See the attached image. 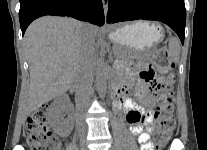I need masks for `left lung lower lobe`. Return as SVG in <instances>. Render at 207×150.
Here are the masks:
<instances>
[{"mask_svg":"<svg viewBox=\"0 0 207 150\" xmlns=\"http://www.w3.org/2000/svg\"><path fill=\"white\" fill-rule=\"evenodd\" d=\"M156 20L170 26L184 42V0H109L107 22Z\"/></svg>","mask_w":207,"mask_h":150,"instance_id":"1","label":"left lung lower lobe"}]
</instances>
